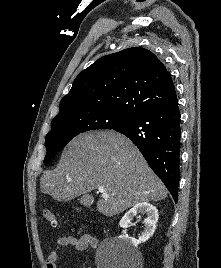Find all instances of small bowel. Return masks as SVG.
<instances>
[{
    "mask_svg": "<svg viewBox=\"0 0 221 268\" xmlns=\"http://www.w3.org/2000/svg\"><path fill=\"white\" fill-rule=\"evenodd\" d=\"M97 245L98 240L91 235L61 237L46 257V268H59V255L65 247H75L78 251H84L88 248L95 249Z\"/></svg>",
    "mask_w": 221,
    "mask_h": 268,
    "instance_id": "small-bowel-1",
    "label": "small bowel"
}]
</instances>
